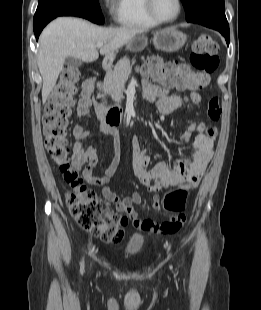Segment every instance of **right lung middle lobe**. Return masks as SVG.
Listing matches in <instances>:
<instances>
[{
  "label": "right lung middle lobe",
  "instance_id": "dd1d6c3e",
  "mask_svg": "<svg viewBox=\"0 0 261 310\" xmlns=\"http://www.w3.org/2000/svg\"><path fill=\"white\" fill-rule=\"evenodd\" d=\"M58 16H78L96 24L104 23L98 0H39L33 25Z\"/></svg>",
  "mask_w": 261,
  "mask_h": 310
}]
</instances>
